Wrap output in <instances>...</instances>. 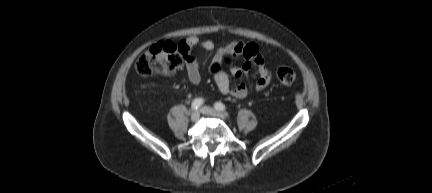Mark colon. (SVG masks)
Returning <instances> with one entry per match:
<instances>
[{
	"label": "colon",
	"mask_w": 432,
	"mask_h": 193,
	"mask_svg": "<svg viewBox=\"0 0 432 193\" xmlns=\"http://www.w3.org/2000/svg\"><path fill=\"white\" fill-rule=\"evenodd\" d=\"M225 64L231 63L230 57L224 58ZM182 63L179 46L172 42H159L144 52L136 61L135 69L141 76H172ZM278 81L291 85L296 80V73L289 67H280L276 71Z\"/></svg>",
	"instance_id": "5ec220e1"
}]
</instances>
